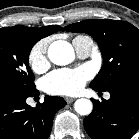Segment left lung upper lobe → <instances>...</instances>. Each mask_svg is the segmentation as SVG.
I'll list each match as a JSON object with an SVG mask.
<instances>
[{"mask_svg":"<svg viewBox=\"0 0 139 139\" xmlns=\"http://www.w3.org/2000/svg\"><path fill=\"white\" fill-rule=\"evenodd\" d=\"M65 30L87 33L98 42L103 66L90 87L107 91L122 78L139 72V30L132 24L111 19L84 20Z\"/></svg>","mask_w":139,"mask_h":139,"instance_id":"1","label":"left lung upper lobe"}]
</instances>
